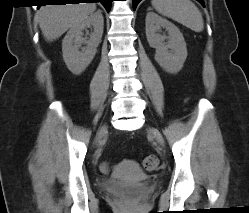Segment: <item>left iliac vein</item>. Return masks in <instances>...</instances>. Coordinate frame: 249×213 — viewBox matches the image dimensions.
<instances>
[{"instance_id": "1", "label": "left iliac vein", "mask_w": 249, "mask_h": 213, "mask_svg": "<svg viewBox=\"0 0 249 213\" xmlns=\"http://www.w3.org/2000/svg\"><path fill=\"white\" fill-rule=\"evenodd\" d=\"M148 131L154 136L157 143L160 146L164 147V139H163V136L161 135V133L155 128H149Z\"/></svg>"}]
</instances>
